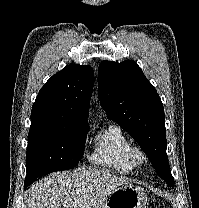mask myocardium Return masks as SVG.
<instances>
[{"mask_svg": "<svg viewBox=\"0 0 199 208\" xmlns=\"http://www.w3.org/2000/svg\"><path fill=\"white\" fill-rule=\"evenodd\" d=\"M129 159L134 166L143 165L146 161V153L139 145H132L129 149Z\"/></svg>", "mask_w": 199, "mask_h": 208, "instance_id": "f54148a6", "label": "myocardium"}]
</instances>
